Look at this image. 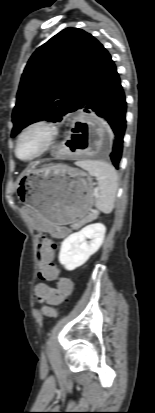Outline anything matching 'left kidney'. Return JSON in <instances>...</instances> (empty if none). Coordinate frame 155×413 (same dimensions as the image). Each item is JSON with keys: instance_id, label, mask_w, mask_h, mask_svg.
Segmentation results:
<instances>
[{"instance_id": "obj_1", "label": "left kidney", "mask_w": 155, "mask_h": 413, "mask_svg": "<svg viewBox=\"0 0 155 413\" xmlns=\"http://www.w3.org/2000/svg\"><path fill=\"white\" fill-rule=\"evenodd\" d=\"M105 232L106 228L103 224L95 223L69 235L61 244L59 262L70 271L82 266L98 251L103 243Z\"/></svg>"}]
</instances>
